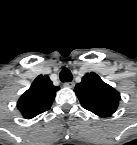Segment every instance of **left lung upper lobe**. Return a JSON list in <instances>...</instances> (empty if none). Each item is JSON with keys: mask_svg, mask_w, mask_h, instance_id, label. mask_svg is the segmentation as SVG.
Returning <instances> with one entry per match:
<instances>
[{"mask_svg": "<svg viewBox=\"0 0 137 145\" xmlns=\"http://www.w3.org/2000/svg\"><path fill=\"white\" fill-rule=\"evenodd\" d=\"M74 91L82 107L99 117L112 115L119 105L120 93L94 72L85 74Z\"/></svg>", "mask_w": 137, "mask_h": 145, "instance_id": "5c2ea615", "label": "left lung upper lobe"}]
</instances>
